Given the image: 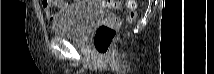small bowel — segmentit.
Returning <instances> with one entry per match:
<instances>
[{
	"label": "small bowel",
	"instance_id": "1",
	"mask_svg": "<svg viewBox=\"0 0 214 74\" xmlns=\"http://www.w3.org/2000/svg\"><path fill=\"white\" fill-rule=\"evenodd\" d=\"M41 5L43 7V11L46 19L51 23H53L56 20V15L53 12L55 9L64 11L70 6V4L64 1H58V0H55V1L43 0L41 1Z\"/></svg>",
	"mask_w": 214,
	"mask_h": 74
}]
</instances>
